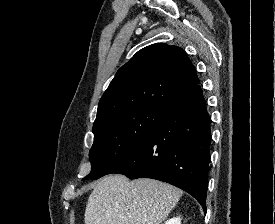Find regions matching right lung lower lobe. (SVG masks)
I'll use <instances>...</instances> for the list:
<instances>
[{
  "instance_id": "98d812e1",
  "label": "right lung lower lobe",
  "mask_w": 275,
  "mask_h": 224,
  "mask_svg": "<svg viewBox=\"0 0 275 224\" xmlns=\"http://www.w3.org/2000/svg\"><path fill=\"white\" fill-rule=\"evenodd\" d=\"M210 124L198 85L169 107L147 137L108 174L170 183L196 198L206 212Z\"/></svg>"
}]
</instances>
